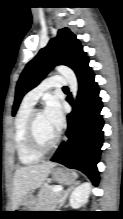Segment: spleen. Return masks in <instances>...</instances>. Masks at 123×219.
I'll return each instance as SVG.
<instances>
[{
  "mask_svg": "<svg viewBox=\"0 0 123 219\" xmlns=\"http://www.w3.org/2000/svg\"><path fill=\"white\" fill-rule=\"evenodd\" d=\"M73 174H74V176H76V177H77V174H76L75 172H74Z\"/></svg>",
  "mask_w": 123,
  "mask_h": 219,
  "instance_id": "spleen-1",
  "label": "spleen"
}]
</instances>
